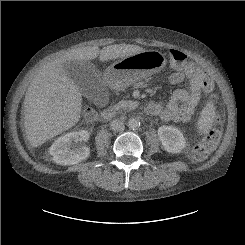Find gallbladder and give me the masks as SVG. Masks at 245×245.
Returning a JSON list of instances; mask_svg holds the SVG:
<instances>
[{
	"mask_svg": "<svg viewBox=\"0 0 245 245\" xmlns=\"http://www.w3.org/2000/svg\"><path fill=\"white\" fill-rule=\"evenodd\" d=\"M67 76L80 92L97 105L106 101V88L100 71L89 61H71L64 66Z\"/></svg>",
	"mask_w": 245,
	"mask_h": 245,
	"instance_id": "gallbladder-1",
	"label": "gallbladder"
}]
</instances>
